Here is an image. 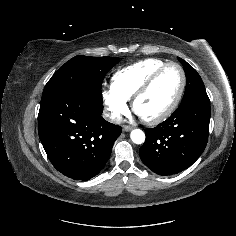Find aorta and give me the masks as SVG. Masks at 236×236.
I'll return each mask as SVG.
<instances>
[{"instance_id": "obj_1", "label": "aorta", "mask_w": 236, "mask_h": 236, "mask_svg": "<svg viewBox=\"0 0 236 236\" xmlns=\"http://www.w3.org/2000/svg\"><path fill=\"white\" fill-rule=\"evenodd\" d=\"M130 138L135 144H142L145 141V134L140 129H134L131 131Z\"/></svg>"}]
</instances>
